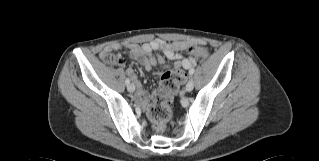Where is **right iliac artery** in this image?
Listing matches in <instances>:
<instances>
[{
    "mask_svg": "<svg viewBox=\"0 0 319 161\" xmlns=\"http://www.w3.org/2000/svg\"><path fill=\"white\" fill-rule=\"evenodd\" d=\"M126 85H129L130 84V79L127 78L126 81H125Z\"/></svg>",
    "mask_w": 319,
    "mask_h": 161,
    "instance_id": "1",
    "label": "right iliac artery"
}]
</instances>
